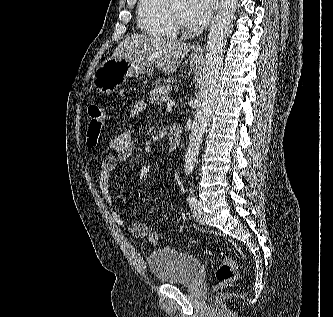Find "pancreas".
<instances>
[{"label": "pancreas", "instance_id": "1", "mask_svg": "<svg viewBox=\"0 0 333 317\" xmlns=\"http://www.w3.org/2000/svg\"><path fill=\"white\" fill-rule=\"evenodd\" d=\"M171 88L167 85L156 86L150 92V101L153 104H161L163 102V98L168 97L170 94Z\"/></svg>", "mask_w": 333, "mask_h": 317}]
</instances>
